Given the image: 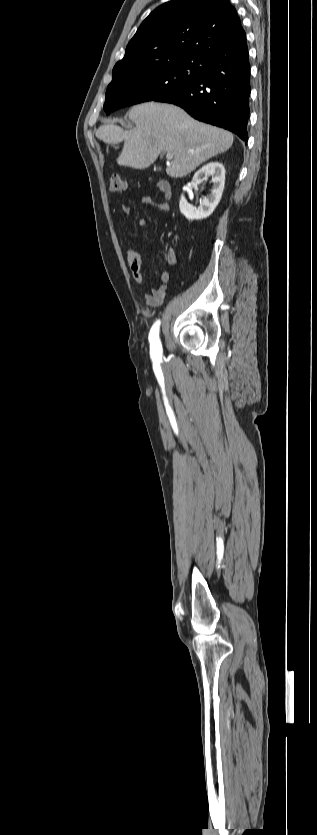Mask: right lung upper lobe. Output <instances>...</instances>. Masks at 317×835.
<instances>
[{
    "label": "right lung upper lobe",
    "instance_id": "cb5924a9",
    "mask_svg": "<svg viewBox=\"0 0 317 835\" xmlns=\"http://www.w3.org/2000/svg\"><path fill=\"white\" fill-rule=\"evenodd\" d=\"M241 36L246 35L229 0H172L142 22L113 74L199 60Z\"/></svg>",
    "mask_w": 317,
    "mask_h": 835
}]
</instances>
